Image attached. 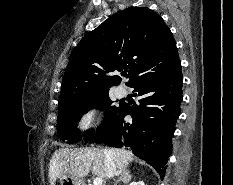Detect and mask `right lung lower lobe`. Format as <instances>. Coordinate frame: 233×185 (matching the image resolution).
Listing matches in <instances>:
<instances>
[{"label": "right lung lower lobe", "mask_w": 233, "mask_h": 185, "mask_svg": "<svg viewBox=\"0 0 233 185\" xmlns=\"http://www.w3.org/2000/svg\"><path fill=\"white\" fill-rule=\"evenodd\" d=\"M182 85L179 58L140 75L129 85L134 88L138 103L120 104L108 123L88 140L113 147H131L134 154L146 160L163 178L180 115ZM125 115H131L132 119L124 121Z\"/></svg>", "instance_id": "1"}]
</instances>
